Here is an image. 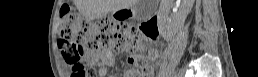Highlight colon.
I'll list each match as a JSON object with an SVG mask.
<instances>
[{
    "instance_id": "1",
    "label": "colon",
    "mask_w": 258,
    "mask_h": 77,
    "mask_svg": "<svg viewBox=\"0 0 258 77\" xmlns=\"http://www.w3.org/2000/svg\"><path fill=\"white\" fill-rule=\"evenodd\" d=\"M58 35L59 46L65 61L72 67L73 77H83L86 72V66L82 61L83 51L108 47L132 53L128 58L131 68L127 70V74L134 76L138 73L137 68L147 67L145 53L155 33L146 29V26L140 31L126 23L107 19L92 23L70 8L61 7Z\"/></svg>"
}]
</instances>
